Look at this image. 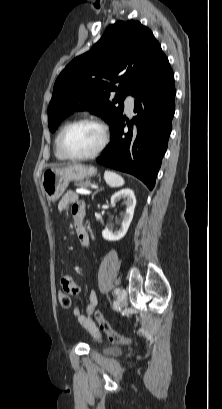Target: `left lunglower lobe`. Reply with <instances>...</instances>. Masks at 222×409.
<instances>
[{"mask_svg": "<svg viewBox=\"0 0 222 409\" xmlns=\"http://www.w3.org/2000/svg\"><path fill=\"white\" fill-rule=\"evenodd\" d=\"M174 74L169 69L148 84L135 97L134 117L138 135L132 140L130 133L124 135V119L120 115L111 126V142L97 159L99 164L132 174L152 190L167 150L174 116Z\"/></svg>", "mask_w": 222, "mask_h": 409, "instance_id": "obj_1", "label": "left lung lower lobe"}]
</instances>
